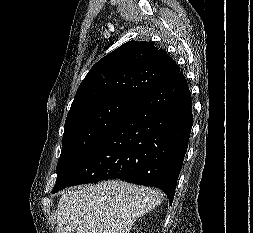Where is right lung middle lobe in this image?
Returning a JSON list of instances; mask_svg holds the SVG:
<instances>
[{"mask_svg":"<svg viewBox=\"0 0 253 233\" xmlns=\"http://www.w3.org/2000/svg\"><path fill=\"white\" fill-rule=\"evenodd\" d=\"M134 101L131 98L111 97L68 113L56 183L115 127Z\"/></svg>","mask_w":253,"mask_h":233,"instance_id":"dd1d6c3e","label":"right lung middle lobe"}]
</instances>
